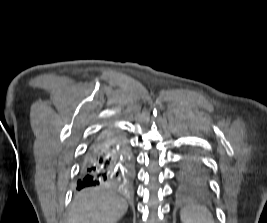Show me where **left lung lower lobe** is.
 Segmentation results:
<instances>
[{
  "mask_svg": "<svg viewBox=\"0 0 267 223\" xmlns=\"http://www.w3.org/2000/svg\"><path fill=\"white\" fill-rule=\"evenodd\" d=\"M177 175L185 181H195L201 176H209V171H178ZM187 189H194V184H187Z\"/></svg>",
  "mask_w": 267,
  "mask_h": 223,
  "instance_id": "obj_1",
  "label": "left lung lower lobe"
}]
</instances>
